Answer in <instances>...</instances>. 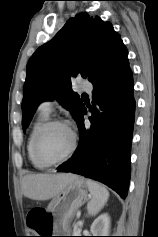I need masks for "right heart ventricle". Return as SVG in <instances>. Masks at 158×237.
Segmentation results:
<instances>
[{"label":"right heart ventricle","mask_w":158,"mask_h":237,"mask_svg":"<svg viewBox=\"0 0 158 237\" xmlns=\"http://www.w3.org/2000/svg\"><path fill=\"white\" fill-rule=\"evenodd\" d=\"M49 117V113H45L42 111H39V114L35 120V122L32 125L31 131L29 133L28 139H27V154L30 162L33 164V166L37 169H45L48 166L39 162L33 153V141L35 138L36 133L41 128V126L47 122Z\"/></svg>","instance_id":"e07e8e85"}]
</instances>
